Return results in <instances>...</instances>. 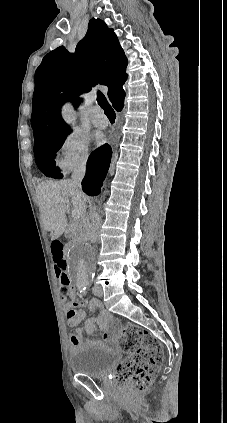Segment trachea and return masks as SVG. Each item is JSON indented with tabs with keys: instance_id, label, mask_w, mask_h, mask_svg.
I'll use <instances>...</instances> for the list:
<instances>
[{
	"instance_id": "obj_1",
	"label": "trachea",
	"mask_w": 227,
	"mask_h": 423,
	"mask_svg": "<svg viewBox=\"0 0 227 423\" xmlns=\"http://www.w3.org/2000/svg\"><path fill=\"white\" fill-rule=\"evenodd\" d=\"M97 102L100 105V107L104 110L105 115L108 117H115V112L113 108L111 107L110 103L107 101L105 95L98 91L97 92Z\"/></svg>"
}]
</instances>
